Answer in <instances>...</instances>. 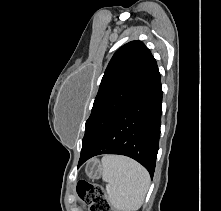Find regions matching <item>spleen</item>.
Here are the masks:
<instances>
[{
    "label": "spleen",
    "mask_w": 221,
    "mask_h": 211,
    "mask_svg": "<svg viewBox=\"0 0 221 211\" xmlns=\"http://www.w3.org/2000/svg\"><path fill=\"white\" fill-rule=\"evenodd\" d=\"M102 179L107 199L118 211H135L144 202L150 184L147 170L136 161L117 155L102 158Z\"/></svg>",
    "instance_id": "3e777b00"
}]
</instances>
